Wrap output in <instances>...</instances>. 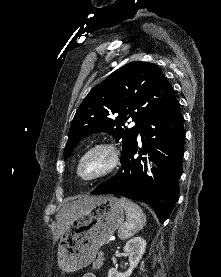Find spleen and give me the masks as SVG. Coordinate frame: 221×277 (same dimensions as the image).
Here are the masks:
<instances>
[{
	"mask_svg": "<svg viewBox=\"0 0 221 277\" xmlns=\"http://www.w3.org/2000/svg\"><path fill=\"white\" fill-rule=\"evenodd\" d=\"M126 211V222L119 228L118 236L120 239L125 240L139 230H141L146 223V216L142 209L135 203L126 198L119 200Z\"/></svg>",
	"mask_w": 221,
	"mask_h": 277,
	"instance_id": "3e777b00",
	"label": "spleen"
}]
</instances>
